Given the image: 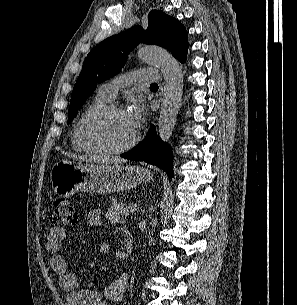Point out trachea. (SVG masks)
<instances>
[{"label":"trachea","mask_w":297,"mask_h":305,"mask_svg":"<svg viewBox=\"0 0 297 305\" xmlns=\"http://www.w3.org/2000/svg\"><path fill=\"white\" fill-rule=\"evenodd\" d=\"M150 87H158V85L156 83H153L150 85Z\"/></svg>","instance_id":"obj_1"}]
</instances>
